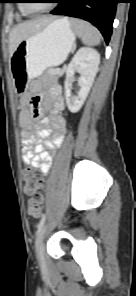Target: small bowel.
<instances>
[{
	"mask_svg": "<svg viewBox=\"0 0 136 296\" xmlns=\"http://www.w3.org/2000/svg\"><path fill=\"white\" fill-rule=\"evenodd\" d=\"M22 105L19 115L23 140L22 161L42 174H47L66 132V120L61 114L64 109L61 88L50 86L33 98L24 95ZM45 111L49 112L47 116L43 115Z\"/></svg>",
	"mask_w": 136,
	"mask_h": 296,
	"instance_id": "1",
	"label": "small bowel"
}]
</instances>
